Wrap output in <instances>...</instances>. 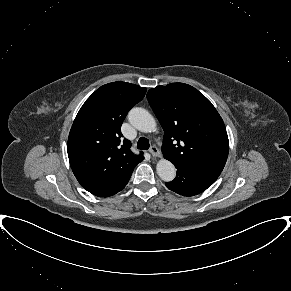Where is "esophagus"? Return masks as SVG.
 Segmentation results:
<instances>
[{
    "label": "esophagus",
    "instance_id": "esophagus-1",
    "mask_svg": "<svg viewBox=\"0 0 291 291\" xmlns=\"http://www.w3.org/2000/svg\"><path fill=\"white\" fill-rule=\"evenodd\" d=\"M149 152L153 157H160L161 156L159 149L154 145L150 147Z\"/></svg>",
    "mask_w": 291,
    "mask_h": 291
}]
</instances>
